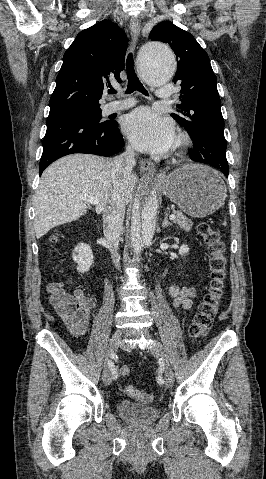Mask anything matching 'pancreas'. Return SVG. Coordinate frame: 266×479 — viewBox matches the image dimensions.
Segmentation results:
<instances>
[{
  "label": "pancreas",
  "mask_w": 266,
  "mask_h": 479,
  "mask_svg": "<svg viewBox=\"0 0 266 479\" xmlns=\"http://www.w3.org/2000/svg\"><path fill=\"white\" fill-rule=\"evenodd\" d=\"M173 214L176 216L174 223L178 224L182 229L189 232L192 227V221L188 219L181 211L173 210Z\"/></svg>",
  "instance_id": "pancreas-1"
}]
</instances>
